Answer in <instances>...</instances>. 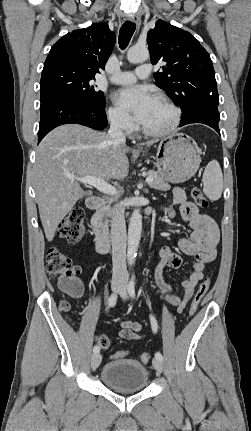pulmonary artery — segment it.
I'll list each match as a JSON object with an SVG mask.
<instances>
[{"mask_svg": "<svg viewBox=\"0 0 251 431\" xmlns=\"http://www.w3.org/2000/svg\"><path fill=\"white\" fill-rule=\"evenodd\" d=\"M150 74L148 64L141 65L134 72L123 71L110 76V80L116 84H131L137 79H144Z\"/></svg>", "mask_w": 251, "mask_h": 431, "instance_id": "pulmonary-artery-1", "label": "pulmonary artery"}]
</instances>
